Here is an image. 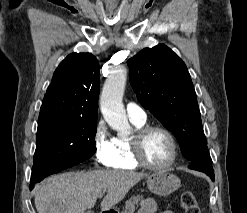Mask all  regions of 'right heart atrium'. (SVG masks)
I'll use <instances>...</instances> for the list:
<instances>
[{
	"mask_svg": "<svg viewBox=\"0 0 247 213\" xmlns=\"http://www.w3.org/2000/svg\"><path fill=\"white\" fill-rule=\"evenodd\" d=\"M114 139L104 121H99L93 134V147L97 162L105 167H111L115 156Z\"/></svg>",
	"mask_w": 247,
	"mask_h": 213,
	"instance_id": "obj_1",
	"label": "right heart atrium"
}]
</instances>
